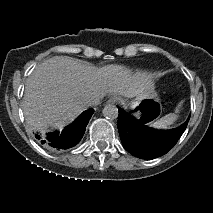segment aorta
Wrapping results in <instances>:
<instances>
[{"label": "aorta", "mask_w": 213, "mask_h": 213, "mask_svg": "<svg viewBox=\"0 0 213 213\" xmlns=\"http://www.w3.org/2000/svg\"><path fill=\"white\" fill-rule=\"evenodd\" d=\"M103 115L106 119L114 120L118 117V109L115 105L108 104L103 109Z\"/></svg>", "instance_id": "1"}]
</instances>
